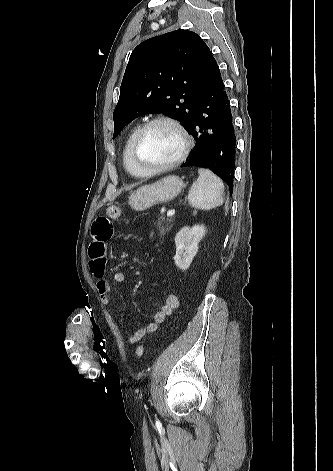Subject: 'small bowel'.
I'll use <instances>...</instances> for the list:
<instances>
[{
    "label": "small bowel",
    "mask_w": 333,
    "mask_h": 471,
    "mask_svg": "<svg viewBox=\"0 0 333 471\" xmlns=\"http://www.w3.org/2000/svg\"><path fill=\"white\" fill-rule=\"evenodd\" d=\"M92 242L89 246L88 255L90 258L89 267L91 273L97 279L96 288L100 299L104 305L111 304V285L105 280L106 272V243L113 236V225L108 216L97 217L91 227ZM112 280L115 283L125 281L124 273L116 271L113 273ZM179 306L178 297L174 294H166L161 308L154 314L153 321L137 329L129 335L127 340L130 343L140 341L146 334L157 330L167 317L171 316Z\"/></svg>",
    "instance_id": "c3829d8e"
}]
</instances>
